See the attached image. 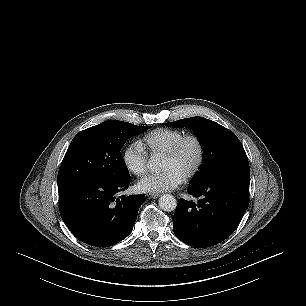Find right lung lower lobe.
<instances>
[{
	"instance_id": "right-lung-lower-lobe-1",
	"label": "right lung lower lobe",
	"mask_w": 306,
	"mask_h": 306,
	"mask_svg": "<svg viewBox=\"0 0 306 306\" xmlns=\"http://www.w3.org/2000/svg\"><path fill=\"white\" fill-rule=\"evenodd\" d=\"M130 184V176L121 180L92 177L59 188L62 220L82 242L109 247L132 231L145 195L120 196Z\"/></svg>"
}]
</instances>
